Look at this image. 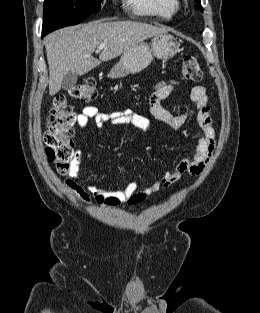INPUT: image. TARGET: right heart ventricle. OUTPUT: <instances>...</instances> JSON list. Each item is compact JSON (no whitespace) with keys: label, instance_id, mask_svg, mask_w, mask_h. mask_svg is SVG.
<instances>
[{"label":"right heart ventricle","instance_id":"right-heart-ventricle-1","mask_svg":"<svg viewBox=\"0 0 260 313\" xmlns=\"http://www.w3.org/2000/svg\"><path fill=\"white\" fill-rule=\"evenodd\" d=\"M126 7L136 16L171 19L179 9L178 0H124Z\"/></svg>","mask_w":260,"mask_h":313}]
</instances>
